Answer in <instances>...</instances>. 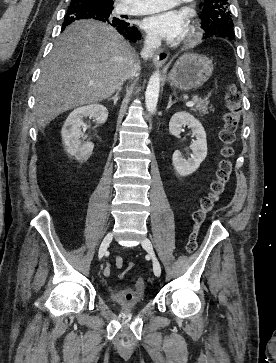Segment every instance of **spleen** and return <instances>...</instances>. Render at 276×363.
Returning a JSON list of instances; mask_svg holds the SVG:
<instances>
[{
    "label": "spleen",
    "mask_w": 276,
    "mask_h": 363,
    "mask_svg": "<svg viewBox=\"0 0 276 363\" xmlns=\"http://www.w3.org/2000/svg\"><path fill=\"white\" fill-rule=\"evenodd\" d=\"M238 116H239V113L238 114L234 113V118L235 119H238Z\"/></svg>",
    "instance_id": "obj_1"
}]
</instances>
